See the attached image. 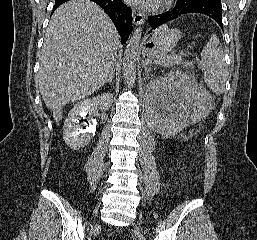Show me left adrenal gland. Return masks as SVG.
I'll return each instance as SVG.
<instances>
[{
	"label": "left adrenal gland",
	"mask_w": 257,
	"mask_h": 240,
	"mask_svg": "<svg viewBox=\"0 0 257 240\" xmlns=\"http://www.w3.org/2000/svg\"><path fill=\"white\" fill-rule=\"evenodd\" d=\"M144 69H145V74L146 76L148 75V73L152 70L151 68H149L147 65L144 66Z\"/></svg>",
	"instance_id": "left-adrenal-gland-1"
}]
</instances>
